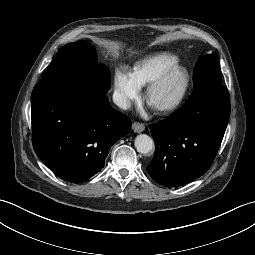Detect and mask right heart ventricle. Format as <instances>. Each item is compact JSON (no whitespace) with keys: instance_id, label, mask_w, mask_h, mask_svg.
Listing matches in <instances>:
<instances>
[{"instance_id":"1","label":"right heart ventricle","mask_w":255,"mask_h":255,"mask_svg":"<svg viewBox=\"0 0 255 255\" xmlns=\"http://www.w3.org/2000/svg\"><path fill=\"white\" fill-rule=\"evenodd\" d=\"M179 63L176 55L169 52H158L141 59L134 68V75L141 86H146L155 80L170 66Z\"/></svg>"}]
</instances>
